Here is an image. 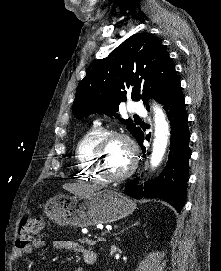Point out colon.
I'll return each instance as SVG.
<instances>
[{
  "mask_svg": "<svg viewBox=\"0 0 221 271\" xmlns=\"http://www.w3.org/2000/svg\"><path fill=\"white\" fill-rule=\"evenodd\" d=\"M45 223L46 219L43 215L23 219L16 239L17 248L25 249L31 243L35 242L45 228Z\"/></svg>",
  "mask_w": 221,
  "mask_h": 271,
  "instance_id": "5ec220e1",
  "label": "colon"
}]
</instances>
